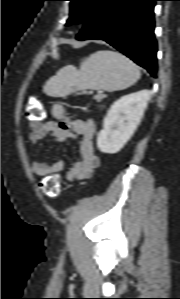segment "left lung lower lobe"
<instances>
[{"label":"left lung lower lobe","instance_id":"1","mask_svg":"<svg viewBox=\"0 0 180 299\" xmlns=\"http://www.w3.org/2000/svg\"><path fill=\"white\" fill-rule=\"evenodd\" d=\"M158 0H99L76 36L103 40L156 75L154 5Z\"/></svg>","mask_w":180,"mask_h":299}]
</instances>
